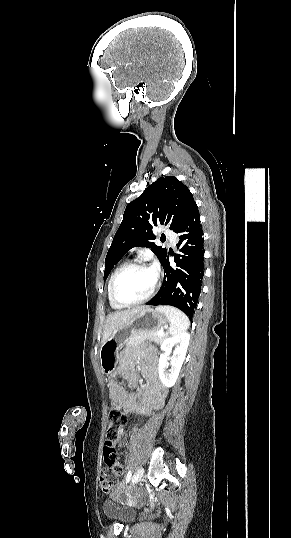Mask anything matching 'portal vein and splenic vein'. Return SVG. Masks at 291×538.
Here are the masks:
<instances>
[{
  "mask_svg": "<svg viewBox=\"0 0 291 538\" xmlns=\"http://www.w3.org/2000/svg\"><path fill=\"white\" fill-rule=\"evenodd\" d=\"M158 334L163 335L164 333H163V331H158Z\"/></svg>",
  "mask_w": 291,
  "mask_h": 538,
  "instance_id": "obj_1",
  "label": "portal vein and splenic vein"
}]
</instances>
